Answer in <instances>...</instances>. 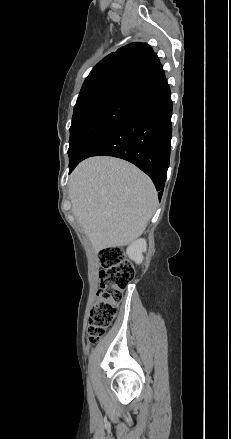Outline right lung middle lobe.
I'll return each instance as SVG.
<instances>
[{
    "mask_svg": "<svg viewBox=\"0 0 231 439\" xmlns=\"http://www.w3.org/2000/svg\"><path fill=\"white\" fill-rule=\"evenodd\" d=\"M139 113L140 106L135 94L128 93L98 97L74 107L68 149L70 163L81 156L99 133Z\"/></svg>",
    "mask_w": 231,
    "mask_h": 439,
    "instance_id": "1",
    "label": "right lung middle lobe"
}]
</instances>
